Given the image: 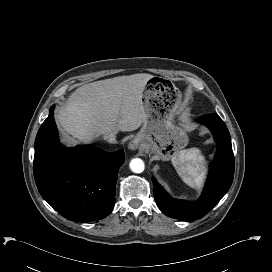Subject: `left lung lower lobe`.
Wrapping results in <instances>:
<instances>
[{"mask_svg": "<svg viewBox=\"0 0 272 272\" xmlns=\"http://www.w3.org/2000/svg\"><path fill=\"white\" fill-rule=\"evenodd\" d=\"M198 122L209 127L218 142L215 159L210 165V174L200 198L194 202L173 199L152 178L153 193L159 209L169 217L185 221L199 219L209 212L228 191L234 177V155L225 123L217 114L202 115Z\"/></svg>", "mask_w": 272, "mask_h": 272, "instance_id": "0a47b994", "label": "left lung lower lobe"}]
</instances>
